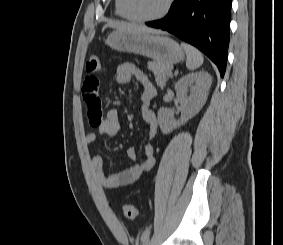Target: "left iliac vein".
I'll return each mask as SVG.
<instances>
[{
  "label": "left iliac vein",
  "instance_id": "4c4485c4",
  "mask_svg": "<svg viewBox=\"0 0 283 245\" xmlns=\"http://www.w3.org/2000/svg\"><path fill=\"white\" fill-rule=\"evenodd\" d=\"M142 245H151L150 239H146L142 242Z\"/></svg>",
  "mask_w": 283,
  "mask_h": 245
}]
</instances>
